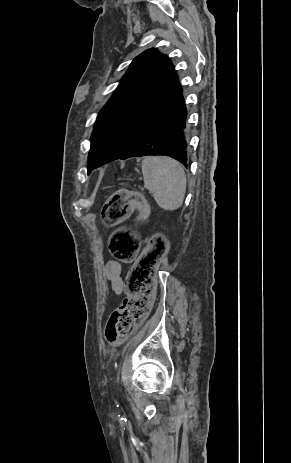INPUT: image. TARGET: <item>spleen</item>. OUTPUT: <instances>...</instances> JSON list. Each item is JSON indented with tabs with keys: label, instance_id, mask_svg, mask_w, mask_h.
I'll return each mask as SVG.
<instances>
[{
	"label": "spleen",
	"instance_id": "obj_1",
	"mask_svg": "<svg viewBox=\"0 0 291 463\" xmlns=\"http://www.w3.org/2000/svg\"><path fill=\"white\" fill-rule=\"evenodd\" d=\"M144 187L164 210L178 209L186 191V175L182 166L168 157H146L142 161Z\"/></svg>",
	"mask_w": 291,
	"mask_h": 463
}]
</instances>
